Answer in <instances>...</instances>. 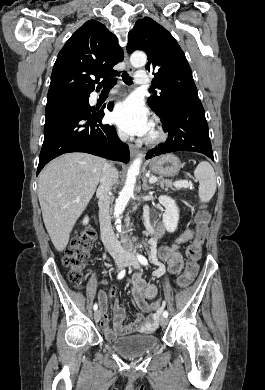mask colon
<instances>
[{
    "label": "colon",
    "instance_id": "obj_1",
    "mask_svg": "<svg viewBox=\"0 0 265 390\" xmlns=\"http://www.w3.org/2000/svg\"><path fill=\"white\" fill-rule=\"evenodd\" d=\"M208 220L209 212L206 209H201L196 215L197 234L187 249L188 262L186 263L184 272L177 279V285L180 288L189 286L198 272L197 261L200 258L201 248L204 242L202 227H204ZM95 240L96 232L93 228L89 227L73 238L66 249L63 265L67 269L69 281L75 285H80L83 281L84 272ZM165 306L166 303L162 299L156 300L151 304L155 314H159Z\"/></svg>",
    "mask_w": 265,
    "mask_h": 390
}]
</instances>
